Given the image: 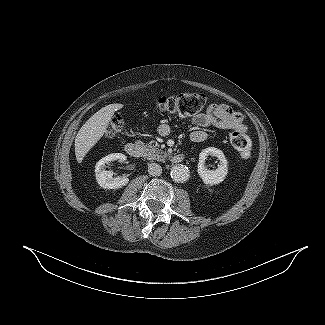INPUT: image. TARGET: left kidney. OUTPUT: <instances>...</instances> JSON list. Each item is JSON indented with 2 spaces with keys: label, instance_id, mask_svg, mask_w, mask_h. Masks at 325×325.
<instances>
[{
  "label": "left kidney",
  "instance_id": "1",
  "mask_svg": "<svg viewBox=\"0 0 325 325\" xmlns=\"http://www.w3.org/2000/svg\"><path fill=\"white\" fill-rule=\"evenodd\" d=\"M209 155L215 156L219 159L218 168L215 170H209L205 166V160ZM227 166L228 161L225 158L224 153L215 147H208L206 149H203L199 154L197 171L200 178L205 184H209L211 186L220 184L228 173Z\"/></svg>",
  "mask_w": 325,
  "mask_h": 325
}]
</instances>
